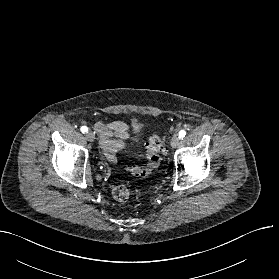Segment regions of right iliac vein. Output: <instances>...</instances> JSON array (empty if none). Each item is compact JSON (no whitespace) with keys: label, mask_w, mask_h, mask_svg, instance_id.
<instances>
[{"label":"right iliac vein","mask_w":279,"mask_h":279,"mask_svg":"<svg viewBox=\"0 0 279 279\" xmlns=\"http://www.w3.org/2000/svg\"><path fill=\"white\" fill-rule=\"evenodd\" d=\"M86 139L89 141V142H93L95 140V135L92 131H88L86 133Z\"/></svg>","instance_id":"1"}]
</instances>
